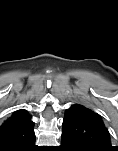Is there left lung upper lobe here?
Here are the masks:
<instances>
[{
	"instance_id": "1",
	"label": "left lung upper lobe",
	"mask_w": 118,
	"mask_h": 151,
	"mask_svg": "<svg viewBox=\"0 0 118 151\" xmlns=\"http://www.w3.org/2000/svg\"><path fill=\"white\" fill-rule=\"evenodd\" d=\"M62 133L77 139L87 151H112L108 129L99 114L80 104L66 110Z\"/></svg>"
}]
</instances>
